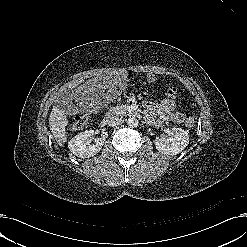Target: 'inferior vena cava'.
<instances>
[{"instance_id":"obj_1","label":"inferior vena cava","mask_w":247,"mask_h":247,"mask_svg":"<svg viewBox=\"0 0 247 247\" xmlns=\"http://www.w3.org/2000/svg\"><path fill=\"white\" fill-rule=\"evenodd\" d=\"M124 122V120L118 116H114V115H109V119H108V125L109 126H117L120 125Z\"/></svg>"}]
</instances>
